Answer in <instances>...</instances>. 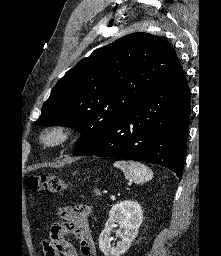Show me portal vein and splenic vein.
<instances>
[{
    "label": "portal vein and splenic vein",
    "instance_id": "18ae733b",
    "mask_svg": "<svg viewBox=\"0 0 221 256\" xmlns=\"http://www.w3.org/2000/svg\"><path fill=\"white\" fill-rule=\"evenodd\" d=\"M110 199H111V200H116V197H115L114 195H111V196H110Z\"/></svg>",
    "mask_w": 221,
    "mask_h": 256
}]
</instances>
